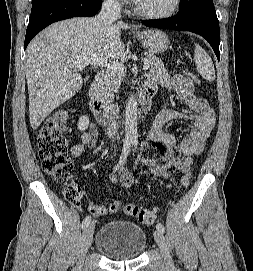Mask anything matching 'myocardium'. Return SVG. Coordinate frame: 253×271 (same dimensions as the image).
<instances>
[{"label":"myocardium","instance_id":"1","mask_svg":"<svg viewBox=\"0 0 253 271\" xmlns=\"http://www.w3.org/2000/svg\"><path fill=\"white\" fill-rule=\"evenodd\" d=\"M182 0H174L172 7L163 13H150L143 10L137 0H133L134 11L137 15L151 20H164L174 16L181 8Z\"/></svg>","mask_w":253,"mask_h":271}]
</instances>
